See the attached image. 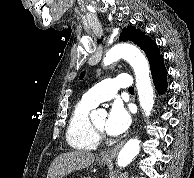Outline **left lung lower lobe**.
Returning <instances> with one entry per match:
<instances>
[{
    "instance_id": "obj_1",
    "label": "left lung lower lobe",
    "mask_w": 194,
    "mask_h": 178,
    "mask_svg": "<svg viewBox=\"0 0 194 178\" xmlns=\"http://www.w3.org/2000/svg\"><path fill=\"white\" fill-rule=\"evenodd\" d=\"M150 69L156 90L159 94L165 92L167 88V70L164 66L163 57L158 59Z\"/></svg>"
}]
</instances>
